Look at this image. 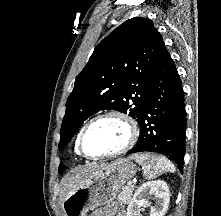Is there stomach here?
Segmentation results:
<instances>
[{
  "label": "stomach",
  "instance_id": "obj_1",
  "mask_svg": "<svg viewBox=\"0 0 221 216\" xmlns=\"http://www.w3.org/2000/svg\"><path fill=\"white\" fill-rule=\"evenodd\" d=\"M136 171L129 159L100 165L66 194L62 202L65 216H87L89 210L110 203Z\"/></svg>",
  "mask_w": 221,
  "mask_h": 216
}]
</instances>
